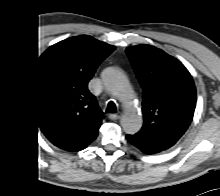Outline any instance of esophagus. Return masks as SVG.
<instances>
[{
	"instance_id": "esophagus-1",
	"label": "esophagus",
	"mask_w": 220,
	"mask_h": 196,
	"mask_svg": "<svg viewBox=\"0 0 220 196\" xmlns=\"http://www.w3.org/2000/svg\"><path fill=\"white\" fill-rule=\"evenodd\" d=\"M121 117V113L119 112V113H116V114H111L110 115V119L111 120H117V119H119Z\"/></svg>"
}]
</instances>
